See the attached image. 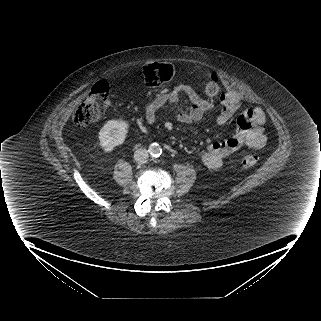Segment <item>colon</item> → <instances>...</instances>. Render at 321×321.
<instances>
[{"instance_id": "obj_1", "label": "colon", "mask_w": 321, "mask_h": 321, "mask_svg": "<svg viewBox=\"0 0 321 321\" xmlns=\"http://www.w3.org/2000/svg\"><path fill=\"white\" fill-rule=\"evenodd\" d=\"M175 70L170 63H152L143 68L142 74L149 86H158L169 82ZM219 77L211 73L207 76L204 91L208 96L215 97L220 93ZM109 86L104 81H98L90 90L86 98L79 104L73 115V121L78 127H85L99 120L104 112L108 97ZM259 158L255 154H244L241 166L245 169L257 165Z\"/></svg>"}]
</instances>
